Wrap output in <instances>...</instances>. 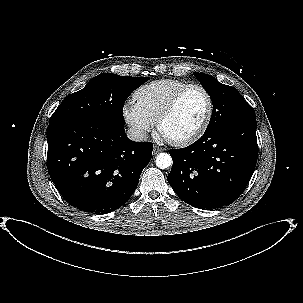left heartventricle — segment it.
<instances>
[{"instance_id":"b2bd125f","label":"left heart ventricle","mask_w":303,"mask_h":303,"mask_svg":"<svg viewBox=\"0 0 303 303\" xmlns=\"http://www.w3.org/2000/svg\"><path fill=\"white\" fill-rule=\"evenodd\" d=\"M207 111V100L198 89L189 90L181 99L173 114L162 126L163 134L179 139L192 134L203 121Z\"/></svg>"}]
</instances>
